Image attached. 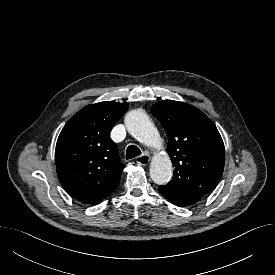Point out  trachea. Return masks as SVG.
Returning a JSON list of instances; mask_svg holds the SVG:
<instances>
[{
	"instance_id": "3493384b",
	"label": "trachea",
	"mask_w": 275,
	"mask_h": 275,
	"mask_svg": "<svg viewBox=\"0 0 275 275\" xmlns=\"http://www.w3.org/2000/svg\"><path fill=\"white\" fill-rule=\"evenodd\" d=\"M141 154V150L135 146V145H130L128 146L126 150V159H132L134 157H137Z\"/></svg>"
}]
</instances>
